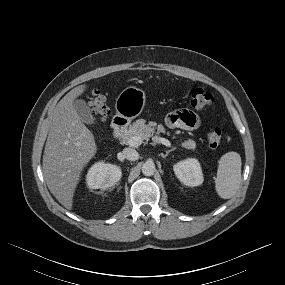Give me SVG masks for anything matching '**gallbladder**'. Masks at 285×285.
Wrapping results in <instances>:
<instances>
[{
    "label": "gallbladder",
    "instance_id": "bac80fb5",
    "mask_svg": "<svg viewBox=\"0 0 285 285\" xmlns=\"http://www.w3.org/2000/svg\"><path fill=\"white\" fill-rule=\"evenodd\" d=\"M75 110L79 115L80 119L88 124V125H95L96 119L91 113L90 107L84 100H76L74 103Z\"/></svg>",
    "mask_w": 285,
    "mask_h": 285
}]
</instances>
